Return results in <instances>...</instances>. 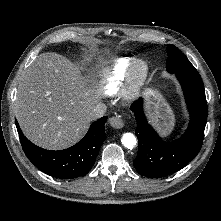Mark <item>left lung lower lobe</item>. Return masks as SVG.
Masks as SVG:
<instances>
[{
	"label": "left lung lower lobe",
	"instance_id": "left-lung-lower-lobe-1",
	"mask_svg": "<svg viewBox=\"0 0 221 221\" xmlns=\"http://www.w3.org/2000/svg\"><path fill=\"white\" fill-rule=\"evenodd\" d=\"M175 74L183 88L190 112L188 129L181 138L170 143L162 141L146 120L142 98L130 106L137 121L135 133L139 142L133 164L143 176L161 178L180 170L196 157L202 146L207 120V102L202 79L196 69Z\"/></svg>",
	"mask_w": 221,
	"mask_h": 221
}]
</instances>
